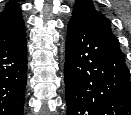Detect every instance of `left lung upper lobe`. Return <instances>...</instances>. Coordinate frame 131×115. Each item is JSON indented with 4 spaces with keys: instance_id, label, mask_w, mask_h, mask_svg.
Segmentation results:
<instances>
[{
    "instance_id": "obj_1",
    "label": "left lung upper lobe",
    "mask_w": 131,
    "mask_h": 115,
    "mask_svg": "<svg viewBox=\"0 0 131 115\" xmlns=\"http://www.w3.org/2000/svg\"><path fill=\"white\" fill-rule=\"evenodd\" d=\"M72 18L79 20L107 43L111 44L118 52L122 53L117 38L111 32L108 19L95 9L91 0H76Z\"/></svg>"
}]
</instances>
